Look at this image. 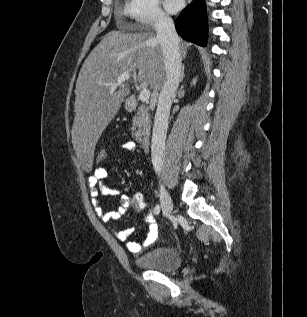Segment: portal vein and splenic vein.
<instances>
[{
  "label": "portal vein and splenic vein",
  "instance_id": "1",
  "mask_svg": "<svg viewBox=\"0 0 307 317\" xmlns=\"http://www.w3.org/2000/svg\"><path fill=\"white\" fill-rule=\"evenodd\" d=\"M129 79H131V75L129 72H124L121 73L117 79V81L113 84H110L111 88L114 90L117 87H119L120 85H122L125 81H128ZM150 98V91L149 89H147L146 87H143L140 91L139 94V99L142 102H146L148 101Z\"/></svg>",
  "mask_w": 307,
  "mask_h": 317
}]
</instances>
